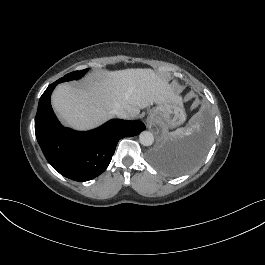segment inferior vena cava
Segmentation results:
<instances>
[{
	"label": "inferior vena cava",
	"instance_id": "obj_1",
	"mask_svg": "<svg viewBox=\"0 0 265 265\" xmlns=\"http://www.w3.org/2000/svg\"><path fill=\"white\" fill-rule=\"evenodd\" d=\"M112 113L116 115L118 118L128 119V113L124 109L119 108V109L113 110Z\"/></svg>",
	"mask_w": 265,
	"mask_h": 265
}]
</instances>
